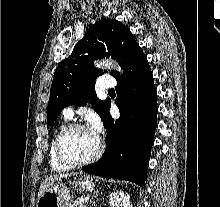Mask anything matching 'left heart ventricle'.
Wrapping results in <instances>:
<instances>
[{"label": "left heart ventricle", "instance_id": "left-heart-ventricle-1", "mask_svg": "<svg viewBox=\"0 0 220 207\" xmlns=\"http://www.w3.org/2000/svg\"><path fill=\"white\" fill-rule=\"evenodd\" d=\"M62 153L72 162L91 157L98 147V138L89 129H77L68 133L62 141Z\"/></svg>", "mask_w": 220, "mask_h": 207}]
</instances>
